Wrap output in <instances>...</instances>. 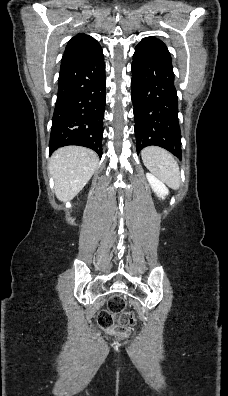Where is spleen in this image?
Listing matches in <instances>:
<instances>
[{
    "label": "spleen",
    "mask_w": 228,
    "mask_h": 396,
    "mask_svg": "<svg viewBox=\"0 0 228 396\" xmlns=\"http://www.w3.org/2000/svg\"><path fill=\"white\" fill-rule=\"evenodd\" d=\"M141 156L146 168L162 182L173 189L180 187L179 166L168 151L157 146H149L142 151Z\"/></svg>",
    "instance_id": "obj_1"
}]
</instances>
